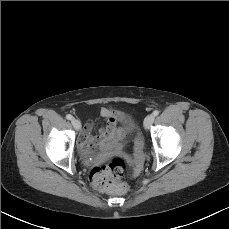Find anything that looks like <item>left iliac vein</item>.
Masks as SVG:
<instances>
[{
  "label": "left iliac vein",
  "instance_id": "obj_1",
  "mask_svg": "<svg viewBox=\"0 0 229 229\" xmlns=\"http://www.w3.org/2000/svg\"><path fill=\"white\" fill-rule=\"evenodd\" d=\"M153 121H154V115L153 114L146 116V118L144 120V127L149 128L150 125L153 123Z\"/></svg>",
  "mask_w": 229,
  "mask_h": 229
}]
</instances>
